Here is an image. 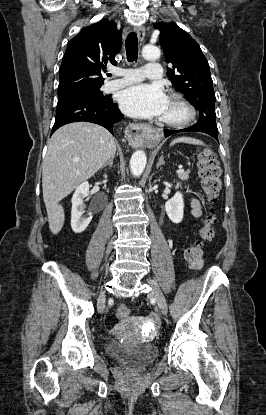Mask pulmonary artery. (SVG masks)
<instances>
[{"instance_id":"pulmonary-artery-1","label":"pulmonary artery","mask_w":266,"mask_h":415,"mask_svg":"<svg viewBox=\"0 0 266 415\" xmlns=\"http://www.w3.org/2000/svg\"><path fill=\"white\" fill-rule=\"evenodd\" d=\"M115 74L121 76V78L107 83L106 89L109 92L138 82L144 77L149 79H159L162 76V66L159 63L151 62L146 64L142 69H120L116 71Z\"/></svg>"}]
</instances>
